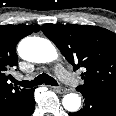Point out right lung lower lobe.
I'll return each instance as SVG.
<instances>
[{
  "instance_id": "1",
  "label": "right lung lower lobe",
  "mask_w": 116,
  "mask_h": 116,
  "mask_svg": "<svg viewBox=\"0 0 116 116\" xmlns=\"http://www.w3.org/2000/svg\"><path fill=\"white\" fill-rule=\"evenodd\" d=\"M34 91L9 116H31L35 109Z\"/></svg>"
}]
</instances>
